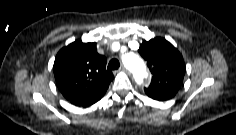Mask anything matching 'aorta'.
<instances>
[{
  "instance_id": "762f6f07",
  "label": "aorta",
  "mask_w": 236,
  "mask_h": 135,
  "mask_svg": "<svg viewBox=\"0 0 236 135\" xmlns=\"http://www.w3.org/2000/svg\"><path fill=\"white\" fill-rule=\"evenodd\" d=\"M124 65L132 72L135 81L138 84L143 82V79L147 77L146 67L141 58L133 53H128L122 57Z\"/></svg>"
}]
</instances>
